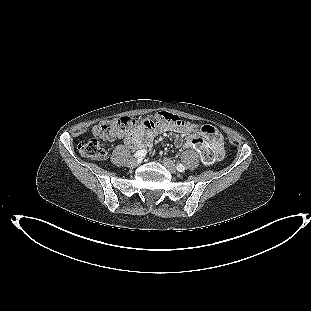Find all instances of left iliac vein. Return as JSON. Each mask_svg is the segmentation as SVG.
<instances>
[{
    "label": "left iliac vein",
    "mask_w": 311,
    "mask_h": 311,
    "mask_svg": "<svg viewBox=\"0 0 311 311\" xmlns=\"http://www.w3.org/2000/svg\"><path fill=\"white\" fill-rule=\"evenodd\" d=\"M162 163L171 173H173V174L176 173L175 164L173 163V161L171 159L164 157L162 159Z\"/></svg>",
    "instance_id": "obj_1"
}]
</instances>
